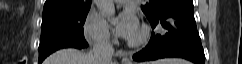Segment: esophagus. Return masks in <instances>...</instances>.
<instances>
[{
    "mask_svg": "<svg viewBox=\"0 0 242 64\" xmlns=\"http://www.w3.org/2000/svg\"><path fill=\"white\" fill-rule=\"evenodd\" d=\"M122 64H130V61L127 57L122 58Z\"/></svg>",
    "mask_w": 242,
    "mask_h": 64,
    "instance_id": "esophagus-1",
    "label": "esophagus"
}]
</instances>
